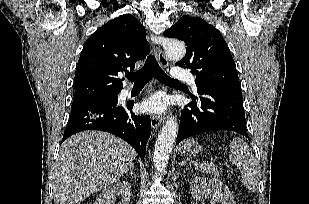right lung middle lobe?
<instances>
[{
	"label": "right lung middle lobe",
	"mask_w": 309,
	"mask_h": 204,
	"mask_svg": "<svg viewBox=\"0 0 309 204\" xmlns=\"http://www.w3.org/2000/svg\"><path fill=\"white\" fill-rule=\"evenodd\" d=\"M118 94H119V93H118ZM118 94H113V95L101 97V98H98V99H95V100L86 102V103H84V104H87V103H94V102H111V101H115V100L118 99ZM81 105H83V104H81ZM77 106H79V105H77ZM73 107H75V106H73Z\"/></svg>",
	"instance_id": "1"
}]
</instances>
